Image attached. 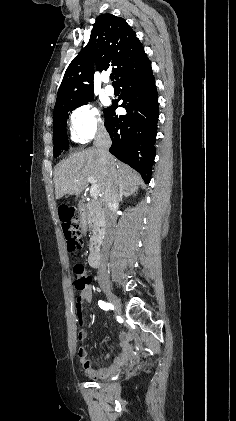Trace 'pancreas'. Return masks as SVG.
<instances>
[{"mask_svg": "<svg viewBox=\"0 0 236 421\" xmlns=\"http://www.w3.org/2000/svg\"><path fill=\"white\" fill-rule=\"evenodd\" d=\"M86 215L89 229L92 231V237L90 239L89 251L91 253H97L102 243V237L104 235V217L103 208L98 202H87L86 204Z\"/></svg>", "mask_w": 236, "mask_h": 421, "instance_id": "pancreas-1", "label": "pancreas"}]
</instances>
